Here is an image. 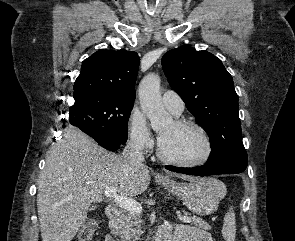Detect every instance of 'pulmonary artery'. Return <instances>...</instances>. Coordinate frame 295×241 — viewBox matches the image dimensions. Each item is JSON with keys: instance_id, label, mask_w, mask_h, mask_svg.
<instances>
[{"instance_id": "1", "label": "pulmonary artery", "mask_w": 295, "mask_h": 241, "mask_svg": "<svg viewBox=\"0 0 295 241\" xmlns=\"http://www.w3.org/2000/svg\"><path fill=\"white\" fill-rule=\"evenodd\" d=\"M165 108L175 116H179L184 110L182 98L174 91H166L162 96Z\"/></svg>"}]
</instances>
